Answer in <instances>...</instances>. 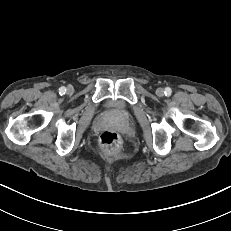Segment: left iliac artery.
Masks as SVG:
<instances>
[{"mask_svg":"<svg viewBox=\"0 0 231 231\" xmlns=\"http://www.w3.org/2000/svg\"><path fill=\"white\" fill-rule=\"evenodd\" d=\"M164 93H165V95H167V96L171 95V93H172L171 88H170V87H166Z\"/></svg>","mask_w":231,"mask_h":231,"instance_id":"obj_1","label":"left iliac artery"}]
</instances>
